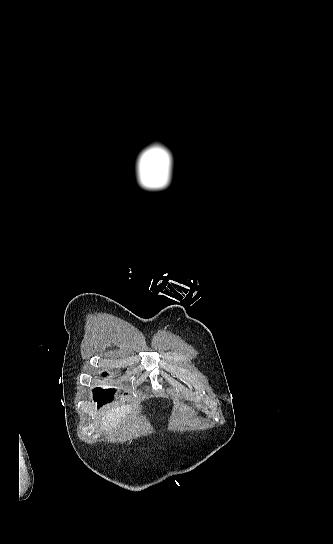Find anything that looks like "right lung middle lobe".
Masks as SVG:
<instances>
[{"label": "right lung middle lobe", "mask_w": 333, "mask_h": 544, "mask_svg": "<svg viewBox=\"0 0 333 544\" xmlns=\"http://www.w3.org/2000/svg\"><path fill=\"white\" fill-rule=\"evenodd\" d=\"M103 375H107V373H103ZM113 394L114 389L104 390L102 388H95L93 390V398L98 403V407L114 400Z\"/></svg>", "instance_id": "right-lung-middle-lobe-1"}]
</instances>
